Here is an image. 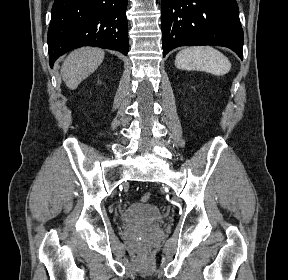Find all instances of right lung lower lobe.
I'll return each mask as SVG.
<instances>
[{
    "label": "right lung lower lobe",
    "instance_id": "obj_1",
    "mask_svg": "<svg viewBox=\"0 0 288 280\" xmlns=\"http://www.w3.org/2000/svg\"><path fill=\"white\" fill-rule=\"evenodd\" d=\"M128 0H55L48 29L49 62L82 46L129 51Z\"/></svg>",
    "mask_w": 288,
    "mask_h": 280
}]
</instances>
